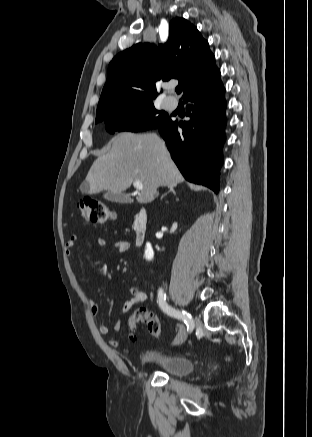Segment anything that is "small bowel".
Wrapping results in <instances>:
<instances>
[{
	"instance_id": "c3829d8e",
	"label": "small bowel",
	"mask_w": 312,
	"mask_h": 437,
	"mask_svg": "<svg viewBox=\"0 0 312 437\" xmlns=\"http://www.w3.org/2000/svg\"><path fill=\"white\" fill-rule=\"evenodd\" d=\"M79 237H80L79 234H73L70 237V239L67 241V243L65 245V253L68 257L72 256L73 249H74ZM97 244L100 247H105L108 245V242L104 238H99V239H97ZM111 248L118 253H124L128 250L129 243L125 240H118V241H115L111 244ZM129 291H130L131 297H130V299L123 302V304L121 306L122 313L129 312L133 307L145 302L147 299L146 292L135 287V286L130 287ZM89 307H90L91 313L93 315H97L100 311L99 304L93 299L89 300ZM121 326H122V321L121 320L117 321L114 325V330L119 331L121 329ZM98 330H99V333L101 335H107L109 333V326L107 324H101L99 326ZM109 344L113 348L120 347V342L114 338L109 339Z\"/></svg>"
}]
</instances>
